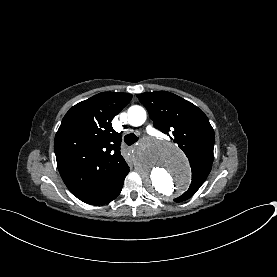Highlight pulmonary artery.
Instances as JSON below:
<instances>
[{"label": "pulmonary artery", "mask_w": 277, "mask_h": 277, "mask_svg": "<svg viewBox=\"0 0 277 277\" xmlns=\"http://www.w3.org/2000/svg\"><path fill=\"white\" fill-rule=\"evenodd\" d=\"M132 107V106H131ZM146 132L149 134V135H154L156 138H161L164 133H160L158 130H157V127L154 125V124H149L147 127H146Z\"/></svg>", "instance_id": "obj_1"}]
</instances>
